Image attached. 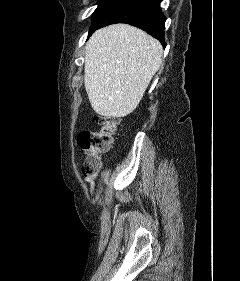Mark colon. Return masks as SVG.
<instances>
[{
    "mask_svg": "<svg viewBox=\"0 0 240 281\" xmlns=\"http://www.w3.org/2000/svg\"><path fill=\"white\" fill-rule=\"evenodd\" d=\"M96 121L98 130L82 131L77 137L78 146L86 155L83 164L85 175H94L101 168L102 157L110 150L118 130L119 122L116 118L98 116Z\"/></svg>",
    "mask_w": 240,
    "mask_h": 281,
    "instance_id": "5ec220e1",
    "label": "colon"
}]
</instances>
